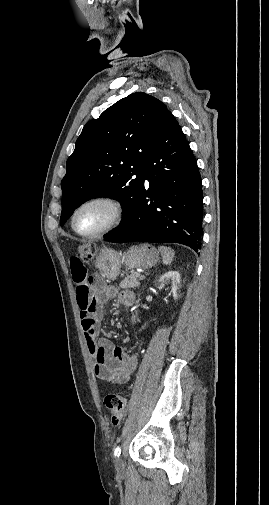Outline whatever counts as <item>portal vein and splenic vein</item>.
<instances>
[{
    "mask_svg": "<svg viewBox=\"0 0 269 505\" xmlns=\"http://www.w3.org/2000/svg\"><path fill=\"white\" fill-rule=\"evenodd\" d=\"M144 278H145V276H144V275H141V276H140V280H143Z\"/></svg>",
    "mask_w": 269,
    "mask_h": 505,
    "instance_id": "portal-vein-and-splenic-vein-1",
    "label": "portal vein and splenic vein"
}]
</instances>
